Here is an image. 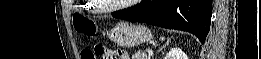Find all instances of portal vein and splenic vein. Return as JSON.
<instances>
[{"label":"portal vein and splenic vein","mask_w":261,"mask_h":59,"mask_svg":"<svg viewBox=\"0 0 261 59\" xmlns=\"http://www.w3.org/2000/svg\"><path fill=\"white\" fill-rule=\"evenodd\" d=\"M148 54H149V55H152V54H153V51H152V50H148Z\"/></svg>","instance_id":"obj_1"}]
</instances>
